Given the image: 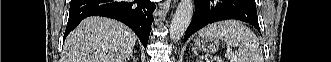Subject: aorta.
I'll return each mask as SVG.
<instances>
[{"label":"aorta","instance_id":"762f6f07","mask_svg":"<svg viewBox=\"0 0 331 62\" xmlns=\"http://www.w3.org/2000/svg\"><path fill=\"white\" fill-rule=\"evenodd\" d=\"M193 15L192 0H181L170 25V39L178 42L185 34Z\"/></svg>","mask_w":331,"mask_h":62}]
</instances>
